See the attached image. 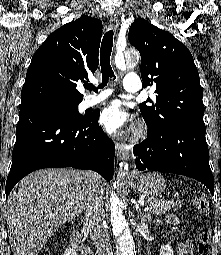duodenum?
<instances>
[{"label": "duodenum", "instance_id": "obj_1", "mask_svg": "<svg viewBox=\"0 0 221 255\" xmlns=\"http://www.w3.org/2000/svg\"><path fill=\"white\" fill-rule=\"evenodd\" d=\"M71 245L80 255H93L92 251L83 243L80 232L72 227L70 230Z\"/></svg>", "mask_w": 221, "mask_h": 255}]
</instances>
